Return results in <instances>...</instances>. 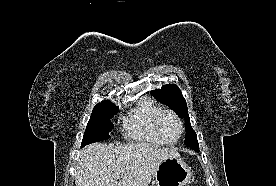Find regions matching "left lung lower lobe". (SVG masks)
I'll list each match as a JSON object with an SVG mask.
<instances>
[{
  "mask_svg": "<svg viewBox=\"0 0 276 186\" xmlns=\"http://www.w3.org/2000/svg\"><path fill=\"white\" fill-rule=\"evenodd\" d=\"M193 150H195V151L199 152V146H198V147L193 148Z\"/></svg>",
  "mask_w": 276,
  "mask_h": 186,
  "instance_id": "0a47b994",
  "label": "left lung lower lobe"
}]
</instances>
